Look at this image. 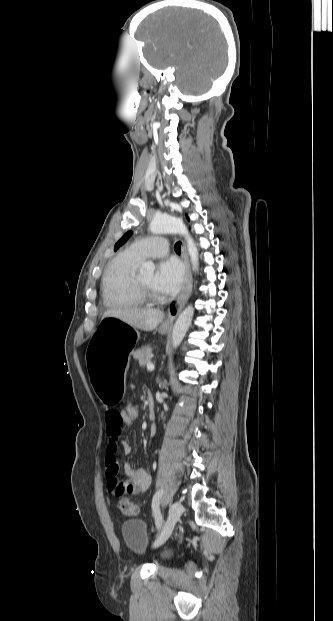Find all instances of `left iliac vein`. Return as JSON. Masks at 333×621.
<instances>
[{"label":"left iliac vein","instance_id":"obj_1","mask_svg":"<svg viewBox=\"0 0 333 621\" xmlns=\"http://www.w3.org/2000/svg\"><path fill=\"white\" fill-rule=\"evenodd\" d=\"M183 512V506L180 502H174L169 509V515L166 523L164 524L163 530L159 535L158 539L154 543V546H159L163 544L170 534L172 533L174 526L177 520L180 518Z\"/></svg>","mask_w":333,"mask_h":621}]
</instances>
